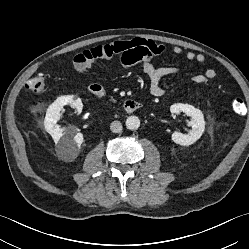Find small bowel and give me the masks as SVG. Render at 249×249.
Segmentation results:
<instances>
[{"label":"small bowel","mask_w":249,"mask_h":249,"mask_svg":"<svg viewBox=\"0 0 249 249\" xmlns=\"http://www.w3.org/2000/svg\"><path fill=\"white\" fill-rule=\"evenodd\" d=\"M165 47L152 40L135 38L130 40H115L104 45H99L77 54L74 59L75 68L78 73L84 75L98 59H109L113 56L120 57V64L123 68H130L139 64L148 78L149 92L155 97L165 94V89L161 85L163 78L178 74L180 69L174 66H157L153 63L155 56L164 53ZM175 55L182 53V48L175 46L172 49ZM189 61L199 64L205 62V56L200 53L189 51L185 55ZM216 77V71L208 68L203 73L192 76V81L196 84H204ZM93 86L102 87L100 84Z\"/></svg>","instance_id":"1"}]
</instances>
